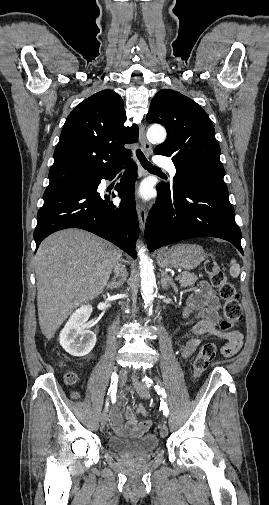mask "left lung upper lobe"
Segmentation results:
<instances>
[{"label":"left lung upper lobe","mask_w":269,"mask_h":505,"mask_svg":"<svg viewBox=\"0 0 269 505\" xmlns=\"http://www.w3.org/2000/svg\"><path fill=\"white\" fill-rule=\"evenodd\" d=\"M147 121L166 128L167 139L155 147L154 153L172 157L176 170L191 169L224 177L213 124L196 102L177 91L161 90L152 99Z\"/></svg>","instance_id":"1"}]
</instances>
